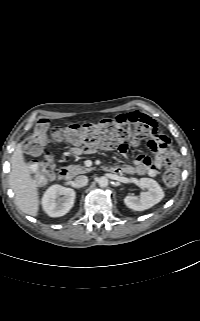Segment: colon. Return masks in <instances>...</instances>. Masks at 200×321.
<instances>
[{"instance_id":"1","label":"colon","mask_w":200,"mask_h":321,"mask_svg":"<svg viewBox=\"0 0 200 321\" xmlns=\"http://www.w3.org/2000/svg\"><path fill=\"white\" fill-rule=\"evenodd\" d=\"M50 130L48 120L37 123L34 131L24 142L25 149L31 154H38L47 142ZM152 130L146 122L129 120L122 115L106 118L93 123L71 124L51 130V137L56 141H65L81 150L88 151L95 148L117 149L125 152L129 145L137 144L141 139L152 136ZM53 156L47 153L43 159L33 167L37 182H43L54 174ZM163 182L169 187H175L180 178V161L174 152L165 155V171Z\"/></svg>"}]
</instances>
